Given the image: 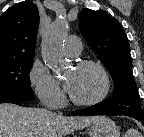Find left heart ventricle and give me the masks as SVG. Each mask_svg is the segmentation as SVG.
Listing matches in <instances>:
<instances>
[{"label": "left heart ventricle", "mask_w": 144, "mask_h": 137, "mask_svg": "<svg viewBox=\"0 0 144 137\" xmlns=\"http://www.w3.org/2000/svg\"><path fill=\"white\" fill-rule=\"evenodd\" d=\"M65 80L71 83L70 93L78 100H91L103 89L101 74L92 67L71 68L65 74Z\"/></svg>", "instance_id": "b2bd125f"}]
</instances>
